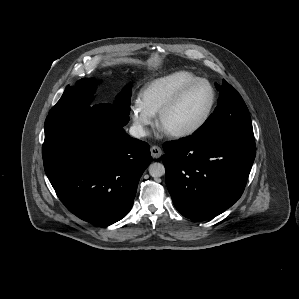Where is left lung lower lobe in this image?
<instances>
[{
  "instance_id": "left-lung-lower-lobe-1",
  "label": "left lung lower lobe",
  "mask_w": 299,
  "mask_h": 299,
  "mask_svg": "<svg viewBox=\"0 0 299 299\" xmlns=\"http://www.w3.org/2000/svg\"><path fill=\"white\" fill-rule=\"evenodd\" d=\"M165 180L176 209L193 220L213 218L242 195L255 159L254 137L189 136L164 143Z\"/></svg>"
}]
</instances>
